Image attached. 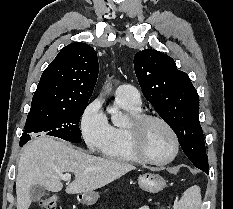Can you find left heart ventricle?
Returning <instances> with one entry per match:
<instances>
[{
    "label": "left heart ventricle",
    "mask_w": 233,
    "mask_h": 209,
    "mask_svg": "<svg viewBox=\"0 0 233 209\" xmlns=\"http://www.w3.org/2000/svg\"><path fill=\"white\" fill-rule=\"evenodd\" d=\"M142 147L148 157L165 160L172 154L174 144L166 128L157 122H149L143 132Z\"/></svg>",
    "instance_id": "1"
}]
</instances>
